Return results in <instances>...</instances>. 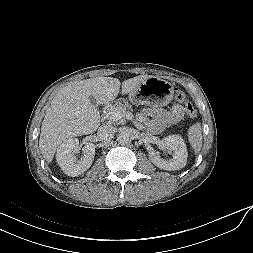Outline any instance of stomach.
Listing matches in <instances>:
<instances>
[{
  "label": "stomach",
  "mask_w": 253,
  "mask_h": 253,
  "mask_svg": "<svg viewBox=\"0 0 253 253\" xmlns=\"http://www.w3.org/2000/svg\"><path fill=\"white\" fill-rule=\"evenodd\" d=\"M174 86L159 77L151 76L136 90L129 93L133 103L146 104L154 107L165 106L173 99Z\"/></svg>",
  "instance_id": "1"
}]
</instances>
